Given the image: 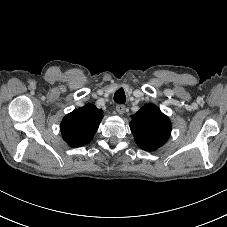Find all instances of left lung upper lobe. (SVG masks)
<instances>
[{
  "instance_id": "left-lung-upper-lobe-1",
  "label": "left lung upper lobe",
  "mask_w": 227,
  "mask_h": 227,
  "mask_svg": "<svg viewBox=\"0 0 227 227\" xmlns=\"http://www.w3.org/2000/svg\"><path fill=\"white\" fill-rule=\"evenodd\" d=\"M130 128L138 146L154 151L168 140L171 122L157 106L148 104L133 115Z\"/></svg>"
}]
</instances>
